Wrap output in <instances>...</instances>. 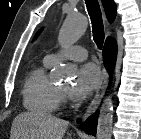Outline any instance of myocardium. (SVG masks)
Here are the masks:
<instances>
[{"label":"myocardium","instance_id":"myocardium-1","mask_svg":"<svg viewBox=\"0 0 141 139\" xmlns=\"http://www.w3.org/2000/svg\"><path fill=\"white\" fill-rule=\"evenodd\" d=\"M59 91H60V94H63L65 92V90L63 89H59Z\"/></svg>","mask_w":141,"mask_h":139}]
</instances>
